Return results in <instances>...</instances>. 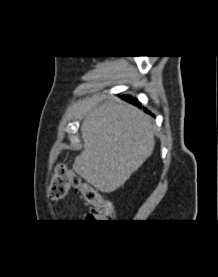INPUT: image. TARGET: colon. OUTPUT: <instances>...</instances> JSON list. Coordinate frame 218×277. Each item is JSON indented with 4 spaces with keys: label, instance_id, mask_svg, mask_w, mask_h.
<instances>
[{
    "label": "colon",
    "instance_id": "obj_1",
    "mask_svg": "<svg viewBox=\"0 0 218 277\" xmlns=\"http://www.w3.org/2000/svg\"><path fill=\"white\" fill-rule=\"evenodd\" d=\"M76 189L91 206L86 219L89 222H107L114 218V204L111 199L103 196L98 190L83 181L73 170L65 164L59 163L52 174L48 188L52 200L63 198L69 188Z\"/></svg>",
    "mask_w": 218,
    "mask_h": 277
}]
</instances>
